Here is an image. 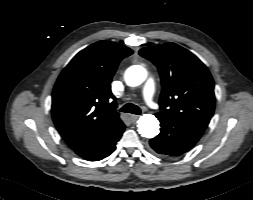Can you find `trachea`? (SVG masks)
Here are the masks:
<instances>
[{"mask_svg":"<svg viewBox=\"0 0 253 200\" xmlns=\"http://www.w3.org/2000/svg\"><path fill=\"white\" fill-rule=\"evenodd\" d=\"M119 111L125 112V113H132L136 115L141 114V110L137 105H134L132 103L125 104Z\"/></svg>","mask_w":253,"mask_h":200,"instance_id":"1","label":"trachea"}]
</instances>
